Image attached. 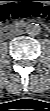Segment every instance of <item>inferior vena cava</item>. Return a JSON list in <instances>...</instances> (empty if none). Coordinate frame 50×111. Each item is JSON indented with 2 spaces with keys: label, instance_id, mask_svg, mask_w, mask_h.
Here are the masks:
<instances>
[{
  "label": "inferior vena cava",
  "instance_id": "602c4592",
  "mask_svg": "<svg viewBox=\"0 0 50 111\" xmlns=\"http://www.w3.org/2000/svg\"><path fill=\"white\" fill-rule=\"evenodd\" d=\"M22 34H24V30H22V29H14L13 31H12V33H11V35L12 36H19V35H22Z\"/></svg>",
  "mask_w": 50,
  "mask_h": 111
}]
</instances>
